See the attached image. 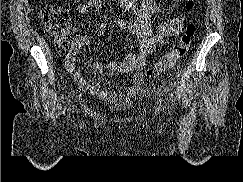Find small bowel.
I'll use <instances>...</instances> for the list:
<instances>
[{
	"label": "small bowel",
	"mask_w": 243,
	"mask_h": 182,
	"mask_svg": "<svg viewBox=\"0 0 243 182\" xmlns=\"http://www.w3.org/2000/svg\"><path fill=\"white\" fill-rule=\"evenodd\" d=\"M179 2L180 0H174ZM101 7V0H86L77 7L79 14L85 15ZM157 13H166L157 0H144L135 21L118 20L116 26L121 29L131 31L136 38L139 52H128L120 61H113L106 65L95 62L94 68L103 74H132L131 85L123 91H110L107 87L98 82L87 80L77 69L75 58L65 60V66L76 84L84 91L96 95L102 100L114 102L123 97H133L141 89L144 81L142 71L146 67V58L159 45H164L166 39L174 38L183 29L185 18L175 16L168 21H163L158 25L157 32L150 24L151 17ZM87 36H79L76 41V50L89 43Z\"/></svg>",
	"instance_id": "small-bowel-1"
}]
</instances>
